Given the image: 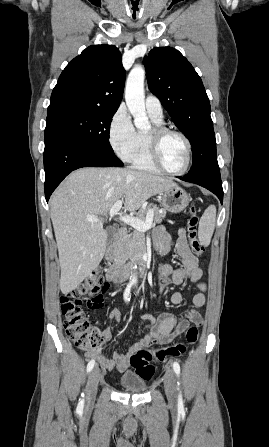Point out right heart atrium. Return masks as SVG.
<instances>
[{"label": "right heart atrium", "instance_id": "d8ad5b80", "mask_svg": "<svg viewBox=\"0 0 269 447\" xmlns=\"http://www.w3.org/2000/svg\"><path fill=\"white\" fill-rule=\"evenodd\" d=\"M137 131L130 113L119 107L113 114L108 127V141L114 152L124 161L130 160L136 145Z\"/></svg>", "mask_w": 269, "mask_h": 447}]
</instances>
